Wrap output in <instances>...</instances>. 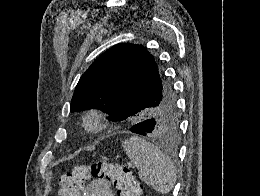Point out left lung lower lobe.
<instances>
[{"label": "left lung lower lobe", "instance_id": "obj_1", "mask_svg": "<svg viewBox=\"0 0 260 196\" xmlns=\"http://www.w3.org/2000/svg\"><path fill=\"white\" fill-rule=\"evenodd\" d=\"M124 107H117L113 111H108L107 113L110 114L109 119L112 121H123L130 118L135 110ZM155 128V122L152 120H144L139 122L133 126H131L130 131L133 133H137L143 136H151Z\"/></svg>", "mask_w": 260, "mask_h": 196}]
</instances>
